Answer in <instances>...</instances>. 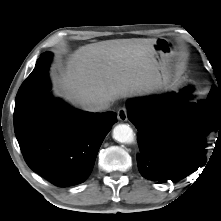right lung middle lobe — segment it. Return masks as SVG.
Returning a JSON list of instances; mask_svg holds the SVG:
<instances>
[{"label":"right lung middle lobe","mask_w":221,"mask_h":221,"mask_svg":"<svg viewBox=\"0 0 221 221\" xmlns=\"http://www.w3.org/2000/svg\"><path fill=\"white\" fill-rule=\"evenodd\" d=\"M51 59V54L46 52L41 58L38 59L35 69L43 70L48 69L49 61ZM36 94H30L25 99L18 100L16 102V108L14 111V123L19 124L25 121V119L30 115L31 110L34 106V97Z\"/></svg>","instance_id":"dd1d6c3e"}]
</instances>
